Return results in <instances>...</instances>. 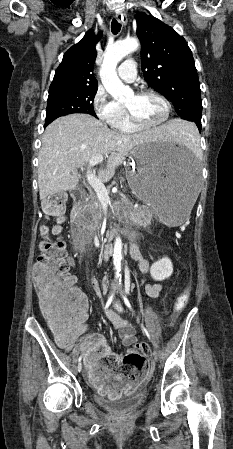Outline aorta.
Returning <instances> with one entry per match:
<instances>
[{
  "label": "aorta",
  "instance_id": "1",
  "mask_svg": "<svg viewBox=\"0 0 233 449\" xmlns=\"http://www.w3.org/2000/svg\"><path fill=\"white\" fill-rule=\"evenodd\" d=\"M139 47V42L135 38H128L123 41L116 42L108 47L104 60L100 69V78L106 91L115 99L122 100L127 96L132 95V89L125 86L118 78L116 67L119 61L128 54L136 51ZM122 260V240L118 236L114 243L113 263L116 270V276H120Z\"/></svg>",
  "mask_w": 233,
  "mask_h": 449
}]
</instances>
